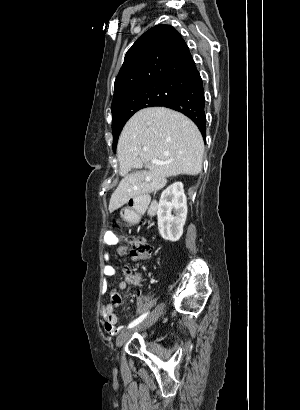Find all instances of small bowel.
<instances>
[{
	"label": "small bowel",
	"mask_w": 300,
	"mask_h": 410,
	"mask_svg": "<svg viewBox=\"0 0 300 410\" xmlns=\"http://www.w3.org/2000/svg\"><path fill=\"white\" fill-rule=\"evenodd\" d=\"M118 240L114 234H108L105 239V243L109 246H115ZM118 253L123 255L125 253L124 247L118 248ZM116 274V269L113 265H107L104 268V282H103V291L104 293H109L110 301L109 303L105 304L102 310V317L104 321V329L107 334L115 335L119 332L123 326L117 325V317L115 315V309L120 307L122 304L120 291L126 289L128 286L131 285H138L140 283V278L138 276H128L122 279L117 288H109L108 280L114 277ZM137 300H138V311L143 309L142 304V295L141 293H137Z\"/></svg>",
	"instance_id": "c3829d8e"
}]
</instances>
